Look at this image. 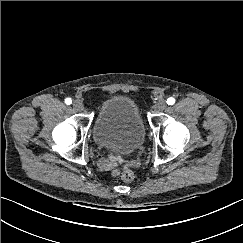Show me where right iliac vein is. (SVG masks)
<instances>
[{
    "mask_svg": "<svg viewBox=\"0 0 243 243\" xmlns=\"http://www.w3.org/2000/svg\"><path fill=\"white\" fill-rule=\"evenodd\" d=\"M73 107L77 111H82L83 108H84V105H83V102L81 100L77 99L73 102Z\"/></svg>",
    "mask_w": 243,
    "mask_h": 243,
    "instance_id": "1",
    "label": "right iliac vein"
}]
</instances>
